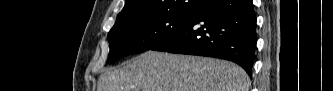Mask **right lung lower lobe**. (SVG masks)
<instances>
[{
    "label": "right lung lower lobe",
    "mask_w": 333,
    "mask_h": 91,
    "mask_svg": "<svg viewBox=\"0 0 333 91\" xmlns=\"http://www.w3.org/2000/svg\"><path fill=\"white\" fill-rule=\"evenodd\" d=\"M256 42L252 0H212L188 24L151 50L230 60L251 77Z\"/></svg>",
    "instance_id": "obj_1"
}]
</instances>
